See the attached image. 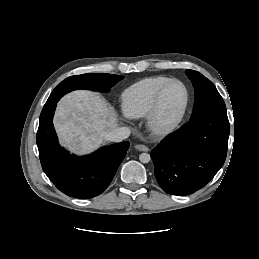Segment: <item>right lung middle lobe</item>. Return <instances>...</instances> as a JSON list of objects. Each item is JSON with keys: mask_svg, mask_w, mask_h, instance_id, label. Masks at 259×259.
Segmentation results:
<instances>
[{"mask_svg": "<svg viewBox=\"0 0 259 259\" xmlns=\"http://www.w3.org/2000/svg\"><path fill=\"white\" fill-rule=\"evenodd\" d=\"M123 76L105 73H87L66 78L59 83L45 105L58 101L63 95L77 89L108 92Z\"/></svg>", "mask_w": 259, "mask_h": 259, "instance_id": "dd1d6c3e", "label": "right lung middle lobe"}]
</instances>
